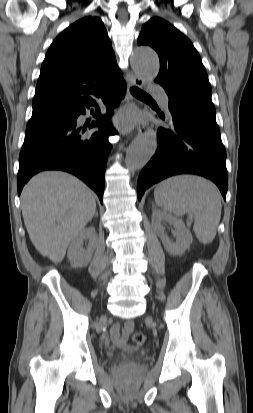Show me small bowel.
I'll return each mask as SVG.
<instances>
[{
    "label": "small bowel",
    "instance_id": "c3829d8e",
    "mask_svg": "<svg viewBox=\"0 0 253 413\" xmlns=\"http://www.w3.org/2000/svg\"><path fill=\"white\" fill-rule=\"evenodd\" d=\"M132 330L133 323L131 321L123 325L115 324L110 331L112 342L118 347H125Z\"/></svg>",
    "mask_w": 253,
    "mask_h": 413
}]
</instances>
